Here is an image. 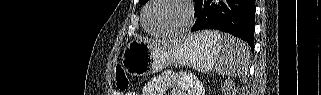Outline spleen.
Here are the masks:
<instances>
[{"mask_svg":"<svg viewBox=\"0 0 321 95\" xmlns=\"http://www.w3.org/2000/svg\"><path fill=\"white\" fill-rule=\"evenodd\" d=\"M210 37L222 42V54L219 57L216 71L221 75H243L249 65L250 48L242 40L228 34H220L217 31L205 32Z\"/></svg>","mask_w":321,"mask_h":95,"instance_id":"spleen-1","label":"spleen"}]
</instances>
